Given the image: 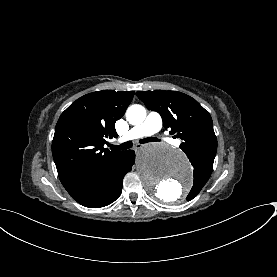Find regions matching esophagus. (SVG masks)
<instances>
[{
  "label": "esophagus",
  "instance_id": "obj_1",
  "mask_svg": "<svg viewBox=\"0 0 277 277\" xmlns=\"http://www.w3.org/2000/svg\"><path fill=\"white\" fill-rule=\"evenodd\" d=\"M143 146H144L143 144H136V145H135V148H136V149H141Z\"/></svg>",
  "mask_w": 277,
  "mask_h": 277
}]
</instances>
